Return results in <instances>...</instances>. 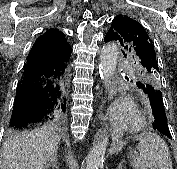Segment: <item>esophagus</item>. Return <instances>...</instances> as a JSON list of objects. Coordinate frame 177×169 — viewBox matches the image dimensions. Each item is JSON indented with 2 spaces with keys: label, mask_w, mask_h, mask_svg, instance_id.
I'll use <instances>...</instances> for the list:
<instances>
[{
  "label": "esophagus",
  "mask_w": 177,
  "mask_h": 169,
  "mask_svg": "<svg viewBox=\"0 0 177 169\" xmlns=\"http://www.w3.org/2000/svg\"><path fill=\"white\" fill-rule=\"evenodd\" d=\"M102 95H104L103 100H106V99H107L108 92H102ZM102 118L105 119L106 117L103 116Z\"/></svg>",
  "instance_id": "34e87169"
}]
</instances>
